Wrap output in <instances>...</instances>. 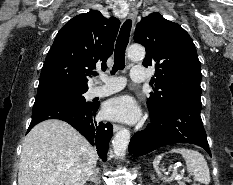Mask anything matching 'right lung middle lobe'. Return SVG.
Returning <instances> with one entry per match:
<instances>
[{
  "instance_id": "1",
  "label": "right lung middle lobe",
  "mask_w": 233,
  "mask_h": 185,
  "mask_svg": "<svg viewBox=\"0 0 233 185\" xmlns=\"http://www.w3.org/2000/svg\"><path fill=\"white\" fill-rule=\"evenodd\" d=\"M87 89H65V88H54V89H44L37 91L36 99L40 98H58L67 99L80 103H90L86 102L83 94Z\"/></svg>"
}]
</instances>
